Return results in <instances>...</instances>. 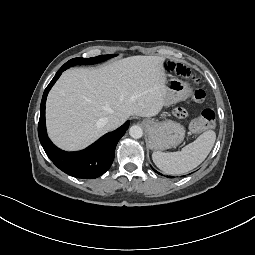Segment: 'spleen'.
I'll list each match as a JSON object with an SVG mask.
<instances>
[{
    "label": "spleen",
    "mask_w": 255,
    "mask_h": 255,
    "mask_svg": "<svg viewBox=\"0 0 255 255\" xmlns=\"http://www.w3.org/2000/svg\"><path fill=\"white\" fill-rule=\"evenodd\" d=\"M215 139V132L208 130L201 134L195 141L186 145L181 151L170 153L161 151L153 152V162L166 174H185L205 160L213 148Z\"/></svg>",
    "instance_id": "spleen-1"
}]
</instances>
